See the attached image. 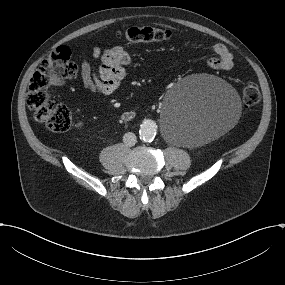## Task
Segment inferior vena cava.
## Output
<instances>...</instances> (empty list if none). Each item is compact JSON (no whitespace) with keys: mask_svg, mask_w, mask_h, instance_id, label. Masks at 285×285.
Masks as SVG:
<instances>
[{"mask_svg":"<svg viewBox=\"0 0 285 285\" xmlns=\"http://www.w3.org/2000/svg\"><path fill=\"white\" fill-rule=\"evenodd\" d=\"M123 141L127 146H133L136 143V135L132 132H127L123 136Z\"/></svg>","mask_w":285,"mask_h":285,"instance_id":"602c4592","label":"inferior vena cava"}]
</instances>
